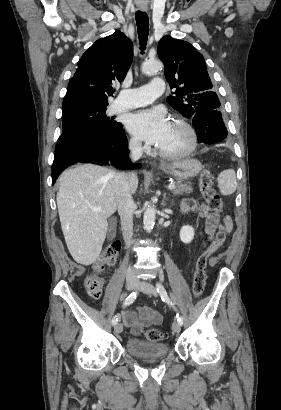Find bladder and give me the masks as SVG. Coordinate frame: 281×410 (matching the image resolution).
Here are the masks:
<instances>
[{
	"label": "bladder",
	"instance_id": "1",
	"mask_svg": "<svg viewBox=\"0 0 281 410\" xmlns=\"http://www.w3.org/2000/svg\"><path fill=\"white\" fill-rule=\"evenodd\" d=\"M126 351L138 358H160L168 354L169 347L165 343L132 337L126 341Z\"/></svg>",
	"mask_w": 281,
	"mask_h": 410
}]
</instances>
